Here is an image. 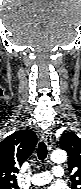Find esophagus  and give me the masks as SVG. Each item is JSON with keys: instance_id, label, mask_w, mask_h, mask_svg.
<instances>
[{"instance_id": "34e87169", "label": "esophagus", "mask_w": 81, "mask_h": 189, "mask_svg": "<svg viewBox=\"0 0 81 189\" xmlns=\"http://www.w3.org/2000/svg\"><path fill=\"white\" fill-rule=\"evenodd\" d=\"M41 137L44 140L45 144L47 145L48 149L51 150V148H52V137H51L50 130L43 132Z\"/></svg>"}]
</instances>
